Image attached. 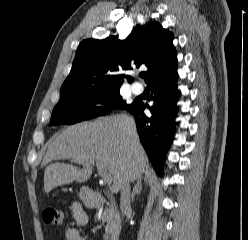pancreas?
<instances>
[{
	"label": "pancreas",
	"instance_id": "obj_1",
	"mask_svg": "<svg viewBox=\"0 0 248 240\" xmlns=\"http://www.w3.org/2000/svg\"><path fill=\"white\" fill-rule=\"evenodd\" d=\"M99 219L102 222H106L104 240H114L120 229V219L116 208L113 205H109L101 213Z\"/></svg>",
	"mask_w": 248,
	"mask_h": 240
}]
</instances>
